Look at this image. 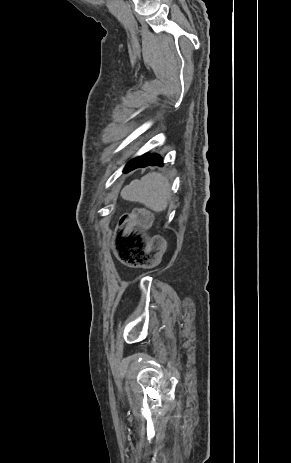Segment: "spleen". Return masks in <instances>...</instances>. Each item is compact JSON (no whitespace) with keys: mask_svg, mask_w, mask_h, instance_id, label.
Masks as SVG:
<instances>
[{"mask_svg":"<svg viewBox=\"0 0 291 463\" xmlns=\"http://www.w3.org/2000/svg\"><path fill=\"white\" fill-rule=\"evenodd\" d=\"M121 196L128 201L139 202L155 212H162L166 210L170 199V183L160 173H148L140 180L135 179L125 186Z\"/></svg>","mask_w":291,"mask_h":463,"instance_id":"obj_1","label":"spleen"}]
</instances>
